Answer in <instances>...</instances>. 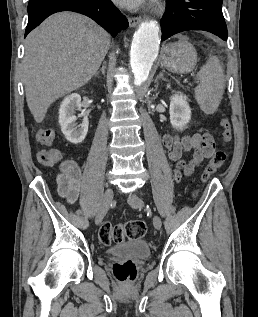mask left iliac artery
Returning <instances> with one entry per match:
<instances>
[{
    "instance_id": "1",
    "label": "left iliac artery",
    "mask_w": 258,
    "mask_h": 317,
    "mask_svg": "<svg viewBox=\"0 0 258 317\" xmlns=\"http://www.w3.org/2000/svg\"><path fill=\"white\" fill-rule=\"evenodd\" d=\"M141 195H145V193H141Z\"/></svg>"
}]
</instances>
